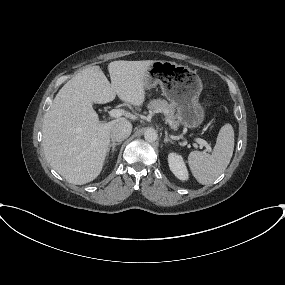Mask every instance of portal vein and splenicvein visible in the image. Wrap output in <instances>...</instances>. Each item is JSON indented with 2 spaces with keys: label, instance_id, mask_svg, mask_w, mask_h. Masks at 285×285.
I'll return each mask as SVG.
<instances>
[{
  "label": "portal vein and splenic vein",
  "instance_id": "1",
  "mask_svg": "<svg viewBox=\"0 0 285 285\" xmlns=\"http://www.w3.org/2000/svg\"><path fill=\"white\" fill-rule=\"evenodd\" d=\"M125 114V112L122 110V109H112L110 112H109V116L111 117V118H118V117H120V116H122V115H124ZM196 141H197V143L201 146V147H206V149H207V151H211V146H210V144L207 142V141H205V140H203V139H200V138H198V139H196Z\"/></svg>",
  "mask_w": 285,
  "mask_h": 285
}]
</instances>
